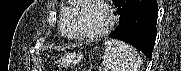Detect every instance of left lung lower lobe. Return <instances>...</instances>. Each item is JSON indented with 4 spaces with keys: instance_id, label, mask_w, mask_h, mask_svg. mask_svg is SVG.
<instances>
[{
    "instance_id": "obj_1",
    "label": "left lung lower lobe",
    "mask_w": 181,
    "mask_h": 71,
    "mask_svg": "<svg viewBox=\"0 0 181 71\" xmlns=\"http://www.w3.org/2000/svg\"><path fill=\"white\" fill-rule=\"evenodd\" d=\"M120 24L110 36L130 43L151 59L158 14L157 0H118Z\"/></svg>"
}]
</instances>
